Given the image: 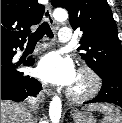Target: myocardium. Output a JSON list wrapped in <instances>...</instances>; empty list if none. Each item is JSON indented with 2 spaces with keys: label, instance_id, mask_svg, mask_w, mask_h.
<instances>
[{
  "label": "myocardium",
  "instance_id": "f54148a6",
  "mask_svg": "<svg viewBox=\"0 0 122 123\" xmlns=\"http://www.w3.org/2000/svg\"><path fill=\"white\" fill-rule=\"evenodd\" d=\"M77 75L84 76L87 80V85L80 91L70 88L67 95L74 102H84L91 99L98 93L101 87V78L95 70L88 66L80 67Z\"/></svg>",
  "mask_w": 122,
  "mask_h": 123
}]
</instances>
